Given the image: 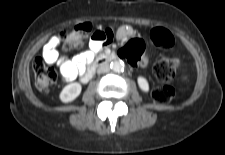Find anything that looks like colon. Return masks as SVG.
<instances>
[{
    "label": "colon",
    "mask_w": 225,
    "mask_h": 155,
    "mask_svg": "<svg viewBox=\"0 0 225 155\" xmlns=\"http://www.w3.org/2000/svg\"><path fill=\"white\" fill-rule=\"evenodd\" d=\"M91 31L92 25L90 23H81L70 30L62 32L60 38L63 48L66 50L82 48L85 38ZM148 40L150 43L161 47H170L174 43V38L170 31L162 27L152 29L148 34ZM144 51L145 43L143 39L141 37H134L123 49L116 51V58L118 60L126 59L130 66L135 67L141 62ZM183 66L184 62L180 55L162 58L154 64L153 73L156 79L162 83L151 92V96L156 103L166 104L174 98L175 90L169 83L176 78H184L182 74ZM32 69L36 86L40 91H48L55 84L57 72L43 59H35Z\"/></svg>",
    "instance_id": "obj_1"
}]
</instances>
